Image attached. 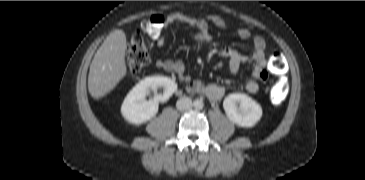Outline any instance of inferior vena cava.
<instances>
[{"label": "inferior vena cava", "mask_w": 365, "mask_h": 180, "mask_svg": "<svg viewBox=\"0 0 365 180\" xmlns=\"http://www.w3.org/2000/svg\"><path fill=\"white\" fill-rule=\"evenodd\" d=\"M176 107L180 111L189 110L192 107V100L188 97H182L177 101Z\"/></svg>", "instance_id": "1"}]
</instances>
